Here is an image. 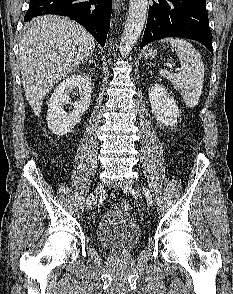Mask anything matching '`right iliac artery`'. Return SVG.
<instances>
[{
  "instance_id": "obj_1",
  "label": "right iliac artery",
  "mask_w": 233,
  "mask_h": 294,
  "mask_svg": "<svg viewBox=\"0 0 233 294\" xmlns=\"http://www.w3.org/2000/svg\"><path fill=\"white\" fill-rule=\"evenodd\" d=\"M93 200H94V195H93V193H90V195L87 197V200H86L87 208L91 207Z\"/></svg>"
}]
</instances>
